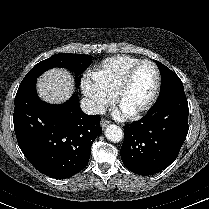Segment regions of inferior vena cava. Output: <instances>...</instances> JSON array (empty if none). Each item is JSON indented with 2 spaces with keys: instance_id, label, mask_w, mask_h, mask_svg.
<instances>
[{
  "instance_id": "obj_1",
  "label": "inferior vena cava",
  "mask_w": 209,
  "mask_h": 209,
  "mask_svg": "<svg viewBox=\"0 0 209 209\" xmlns=\"http://www.w3.org/2000/svg\"><path fill=\"white\" fill-rule=\"evenodd\" d=\"M81 109L88 115H101L106 112L105 106L99 101L83 98L80 102Z\"/></svg>"
}]
</instances>
